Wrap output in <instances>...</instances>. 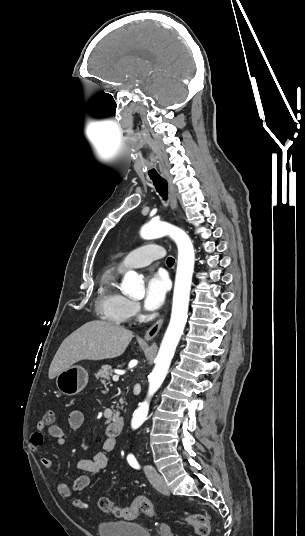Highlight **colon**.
Instances as JSON below:
<instances>
[{
  "label": "colon",
  "mask_w": 305,
  "mask_h": 536,
  "mask_svg": "<svg viewBox=\"0 0 305 536\" xmlns=\"http://www.w3.org/2000/svg\"><path fill=\"white\" fill-rule=\"evenodd\" d=\"M44 423L53 424L54 412L50 411L43 417ZM73 507L79 512H86V503L81 502L80 498L75 497L72 500ZM99 508L103 513L113 514L116 518L132 519L138 513H143L149 517L157 516V511L148 498L143 495H137L134 500L127 506L115 505L110 498H102L99 501ZM182 521L193 526L194 536H209L210 523L207 517L201 514H187L182 517Z\"/></svg>",
  "instance_id": "1"
}]
</instances>
